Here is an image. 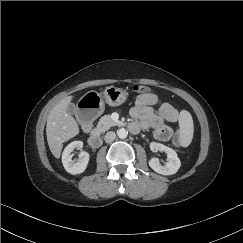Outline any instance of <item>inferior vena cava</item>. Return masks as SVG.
<instances>
[{"instance_id": "602c4592", "label": "inferior vena cava", "mask_w": 243, "mask_h": 243, "mask_svg": "<svg viewBox=\"0 0 243 243\" xmlns=\"http://www.w3.org/2000/svg\"><path fill=\"white\" fill-rule=\"evenodd\" d=\"M115 138H116V134L113 131L107 132L106 135L104 136V140L107 143L114 141Z\"/></svg>"}]
</instances>
